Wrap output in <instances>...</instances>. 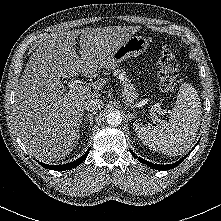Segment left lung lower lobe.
<instances>
[{"mask_svg":"<svg viewBox=\"0 0 221 221\" xmlns=\"http://www.w3.org/2000/svg\"><path fill=\"white\" fill-rule=\"evenodd\" d=\"M132 155L137 158L141 163L143 164H146L147 166L153 168V169H156V170H169V169H172L176 166H178L185 158L183 157L181 160L177 161L176 163H173V164H167V165H160V164H153L149 161H146L138 156H136L132 151H131Z\"/></svg>","mask_w":221,"mask_h":221,"instance_id":"obj_1","label":"left lung lower lobe"}]
</instances>
